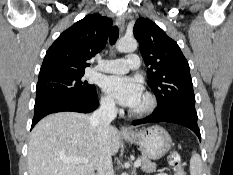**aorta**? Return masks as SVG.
Returning a JSON list of instances; mask_svg holds the SVG:
<instances>
[{"mask_svg": "<svg viewBox=\"0 0 233 175\" xmlns=\"http://www.w3.org/2000/svg\"><path fill=\"white\" fill-rule=\"evenodd\" d=\"M137 41L133 38H122L118 41L116 49L119 52H133L137 49Z\"/></svg>", "mask_w": 233, "mask_h": 175, "instance_id": "762f6f07", "label": "aorta"}]
</instances>
